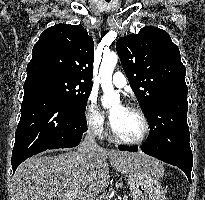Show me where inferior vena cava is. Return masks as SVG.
Returning a JSON list of instances; mask_svg holds the SVG:
<instances>
[{
	"label": "inferior vena cava",
	"mask_w": 205,
	"mask_h": 200,
	"mask_svg": "<svg viewBox=\"0 0 205 200\" xmlns=\"http://www.w3.org/2000/svg\"><path fill=\"white\" fill-rule=\"evenodd\" d=\"M96 128L94 125H90L84 141L81 143L80 147L78 148L79 153H88L89 151H93L94 149L99 148L98 144L96 143Z\"/></svg>",
	"instance_id": "obj_1"
}]
</instances>
